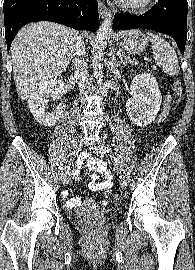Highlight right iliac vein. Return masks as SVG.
Here are the masks:
<instances>
[{"mask_svg": "<svg viewBox=\"0 0 195 270\" xmlns=\"http://www.w3.org/2000/svg\"><path fill=\"white\" fill-rule=\"evenodd\" d=\"M82 144H83V139H82V136L81 135H78L77 138L74 140L73 142V150H72V157L75 158L81 147H82ZM73 171V164H69L64 172V175H63V184L64 185H67L69 184L70 182V175H71V172Z\"/></svg>", "mask_w": 195, "mask_h": 270, "instance_id": "right-iliac-vein-1", "label": "right iliac vein"}]
</instances>
